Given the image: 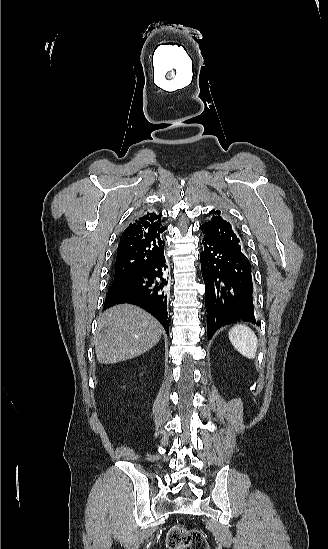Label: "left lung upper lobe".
Masks as SVG:
<instances>
[{"label":"left lung upper lobe","mask_w":328,"mask_h":549,"mask_svg":"<svg viewBox=\"0 0 328 549\" xmlns=\"http://www.w3.org/2000/svg\"><path fill=\"white\" fill-rule=\"evenodd\" d=\"M219 210H212L210 214L213 216L211 220L200 226L204 236L214 239L233 249L241 251L240 240L236 234L235 228L224 220L220 215Z\"/></svg>","instance_id":"obj_1"}]
</instances>
